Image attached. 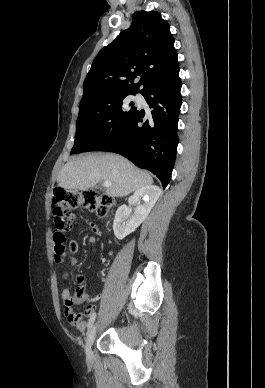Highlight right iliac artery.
I'll return each mask as SVG.
<instances>
[{
  "mask_svg": "<svg viewBox=\"0 0 265 388\" xmlns=\"http://www.w3.org/2000/svg\"><path fill=\"white\" fill-rule=\"evenodd\" d=\"M95 318H96V313H93V314L91 315L89 321H88V325H87L88 330L92 327V325H93V323H94V321H95Z\"/></svg>",
  "mask_w": 265,
  "mask_h": 388,
  "instance_id": "obj_1",
  "label": "right iliac artery"
}]
</instances>
